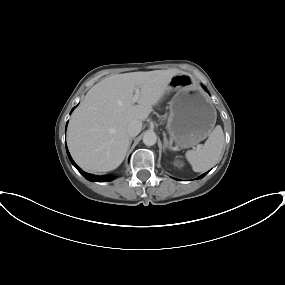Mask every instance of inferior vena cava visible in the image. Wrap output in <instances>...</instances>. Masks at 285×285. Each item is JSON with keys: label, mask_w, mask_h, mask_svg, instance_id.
Here are the masks:
<instances>
[{"label": "inferior vena cava", "mask_w": 285, "mask_h": 285, "mask_svg": "<svg viewBox=\"0 0 285 285\" xmlns=\"http://www.w3.org/2000/svg\"><path fill=\"white\" fill-rule=\"evenodd\" d=\"M142 129V122L139 120H132L127 125V133L130 137L137 136Z\"/></svg>", "instance_id": "inferior-vena-cava-1"}]
</instances>
